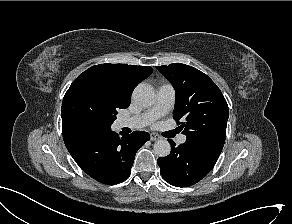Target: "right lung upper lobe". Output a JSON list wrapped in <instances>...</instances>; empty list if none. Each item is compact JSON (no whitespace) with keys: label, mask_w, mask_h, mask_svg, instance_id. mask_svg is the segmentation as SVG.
Here are the masks:
<instances>
[{"label":"right lung upper lobe","mask_w":292,"mask_h":224,"mask_svg":"<svg viewBox=\"0 0 292 224\" xmlns=\"http://www.w3.org/2000/svg\"><path fill=\"white\" fill-rule=\"evenodd\" d=\"M152 72L153 69L149 66L100 64L87 69L79 76L95 75L100 78L122 109L130 105V98L134 88L149 77Z\"/></svg>","instance_id":"1"}]
</instances>
